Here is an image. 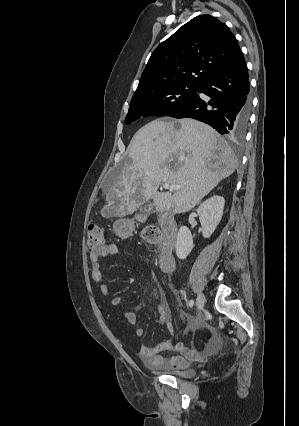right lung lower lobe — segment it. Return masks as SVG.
<instances>
[{
    "mask_svg": "<svg viewBox=\"0 0 299 426\" xmlns=\"http://www.w3.org/2000/svg\"><path fill=\"white\" fill-rule=\"evenodd\" d=\"M199 92L209 99L201 98ZM250 111L248 71L240 53L228 66L206 78L196 94L169 116L194 118L209 124L220 134L241 138L247 128Z\"/></svg>",
    "mask_w": 299,
    "mask_h": 426,
    "instance_id": "obj_1",
    "label": "right lung lower lobe"
}]
</instances>
